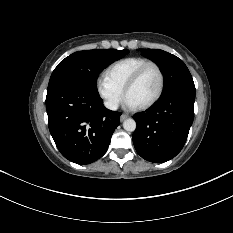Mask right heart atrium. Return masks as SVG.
I'll list each match as a JSON object with an SVG mask.
<instances>
[{
    "label": "right heart atrium",
    "instance_id": "obj_1",
    "mask_svg": "<svg viewBox=\"0 0 233 233\" xmlns=\"http://www.w3.org/2000/svg\"><path fill=\"white\" fill-rule=\"evenodd\" d=\"M96 90L103 104L109 110H116L124 98L123 90L115 86L106 77L97 79Z\"/></svg>",
    "mask_w": 233,
    "mask_h": 233
}]
</instances>
